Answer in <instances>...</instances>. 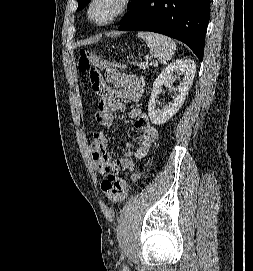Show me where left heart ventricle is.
I'll use <instances>...</instances> for the list:
<instances>
[{
  "instance_id": "obj_1",
  "label": "left heart ventricle",
  "mask_w": 253,
  "mask_h": 271,
  "mask_svg": "<svg viewBox=\"0 0 253 271\" xmlns=\"http://www.w3.org/2000/svg\"><path fill=\"white\" fill-rule=\"evenodd\" d=\"M118 0H97L92 8V16L97 21L109 18L117 9Z\"/></svg>"
}]
</instances>
